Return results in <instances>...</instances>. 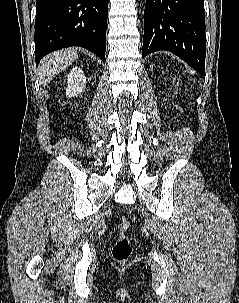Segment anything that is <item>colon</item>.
Returning a JSON list of instances; mask_svg holds the SVG:
<instances>
[{"label": "colon", "instance_id": "1", "mask_svg": "<svg viewBox=\"0 0 239 303\" xmlns=\"http://www.w3.org/2000/svg\"><path fill=\"white\" fill-rule=\"evenodd\" d=\"M129 228V219L125 216H122L119 222V235L112 251L113 258L116 262H126L131 256L132 246L127 234Z\"/></svg>", "mask_w": 239, "mask_h": 303}]
</instances>
